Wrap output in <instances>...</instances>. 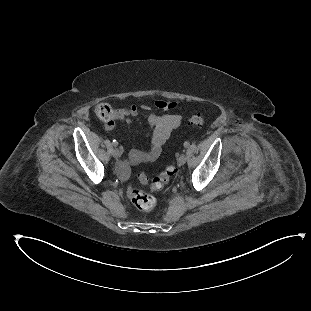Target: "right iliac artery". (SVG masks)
<instances>
[{"label":"right iliac artery","instance_id":"1","mask_svg":"<svg viewBox=\"0 0 311 311\" xmlns=\"http://www.w3.org/2000/svg\"><path fill=\"white\" fill-rule=\"evenodd\" d=\"M112 144L116 147L118 146V142L116 140H113Z\"/></svg>","mask_w":311,"mask_h":311}]
</instances>
